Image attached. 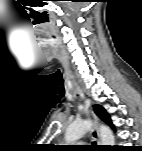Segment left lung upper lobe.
Returning <instances> with one entry per match:
<instances>
[{
    "label": "left lung upper lobe",
    "instance_id": "1",
    "mask_svg": "<svg viewBox=\"0 0 142 151\" xmlns=\"http://www.w3.org/2000/svg\"><path fill=\"white\" fill-rule=\"evenodd\" d=\"M94 110H95V113L104 121L106 122L108 125H110L113 129L114 126L111 122V119H110V116L108 115V113L105 111V109L100 106V105H94Z\"/></svg>",
    "mask_w": 142,
    "mask_h": 151
}]
</instances>
